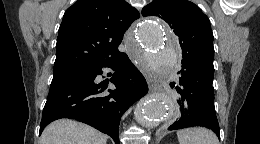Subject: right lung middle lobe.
<instances>
[{
    "instance_id": "dd1d6c3e",
    "label": "right lung middle lobe",
    "mask_w": 260,
    "mask_h": 144,
    "mask_svg": "<svg viewBox=\"0 0 260 144\" xmlns=\"http://www.w3.org/2000/svg\"><path fill=\"white\" fill-rule=\"evenodd\" d=\"M65 71H67V70H65ZM65 71H58V72H54V76H56V75H59V74H61V73L65 72Z\"/></svg>"
}]
</instances>
